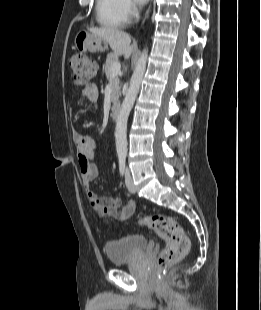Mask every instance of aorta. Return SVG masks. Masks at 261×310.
Wrapping results in <instances>:
<instances>
[{"label":"aorta","mask_w":261,"mask_h":310,"mask_svg":"<svg viewBox=\"0 0 261 310\" xmlns=\"http://www.w3.org/2000/svg\"><path fill=\"white\" fill-rule=\"evenodd\" d=\"M148 51L145 49L140 55L132 74L130 85L122 102L115 129L116 150L118 156L127 155V121L130 111L140 89V85L146 70Z\"/></svg>","instance_id":"1"}]
</instances>
